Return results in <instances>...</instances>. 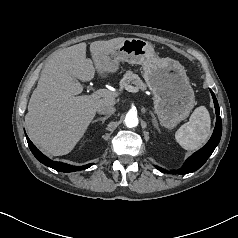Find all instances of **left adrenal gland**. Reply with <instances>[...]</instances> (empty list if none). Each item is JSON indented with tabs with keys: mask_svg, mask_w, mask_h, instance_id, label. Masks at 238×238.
<instances>
[{
	"mask_svg": "<svg viewBox=\"0 0 238 238\" xmlns=\"http://www.w3.org/2000/svg\"><path fill=\"white\" fill-rule=\"evenodd\" d=\"M149 113H150V115H151V117H152L153 125H154L155 128L158 130V132H160V129H159V126H158V122H157V120H156V117L154 116V114H153L151 111H149Z\"/></svg>",
	"mask_w": 238,
	"mask_h": 238,
	"instance_id": "a2214340",
	"label": "left adrenal gland"
}]
</instances>
